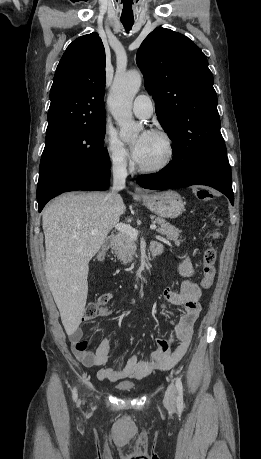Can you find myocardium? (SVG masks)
Instances as JSON below:
<instances>
[{
	"instance_id": "obj_1",
	"label": "myocardium",
	"mask_w": 261,
	"mask_h": 459,
	"mask_svg": "<svg viewBox=\"0 0 261 459\" xmlns=\"http://www.w3.org/2000/svg\"><path fill=\"white\" fill-rule=\"evenodd\" d=\"M151 134L161 138L166 145V155L162 161L155 165L143 166L138 164L139 171L143 173H158L166 169L173 161L175 156V145L172 137L165 131L162 130H153Z\"/></svg>"
}]
</instances>
